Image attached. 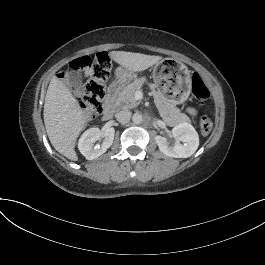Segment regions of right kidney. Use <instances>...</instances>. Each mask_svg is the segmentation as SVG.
Wrapping results in <instances>:
<instances>
[{"instance_id":"ca27d5eb","label":"right kidney","mask_w":265,"mask_h":265,"mask_svg":"<svg viewBox=\"0 0 265 265\" xmlns=\"http://www.w3.org/2000/svg\"><path fill=\"white\" fill-rule=\"evenodd\" d=\"M114 134V128H108L104 132H101L99 128H90L81 135L78 149L86 159L93 160L104 154L112 145ZM101 137H104L103 143L94 146V143Z\"/></svg>"}]
</instances>
